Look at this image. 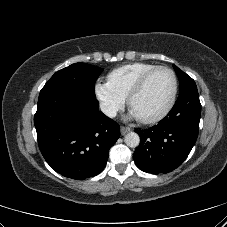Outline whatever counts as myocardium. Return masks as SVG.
I'll return each mask as SVG.
<instances>
[{"instance_id": "obj_1", "label": "myocardium", "mask_w": 227, "mask_h": 227, "mask_svg": "<svg viewBox=\"0 0 227 227\" xmlns=\"http://www.w3.org/2000/svg\"><path fill=\"white\" fill-rule=\"evenodd\" d=\"M159 70H167L172 76L173 86H172L171 96H170V99H169L168 103L166 104V106L159 113H157L154 116L148 117V118H139V120L144 124L156 123V122L160 121L161 119H163L173 108L176 98H177L178 78H177L175 71L172 68H170L169 66L157 65V66L153 67L152 69L148 70L147 72H145L133 85V87L131 88V90L129 91V93L127 95L128 106L131 108L134 97L143 89V87L145 86L148 79L155 72H157Z\"/></svg>"}]
</instances>
